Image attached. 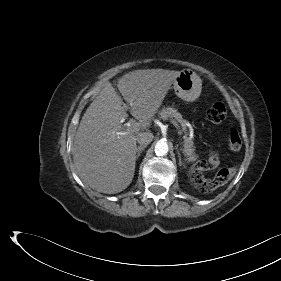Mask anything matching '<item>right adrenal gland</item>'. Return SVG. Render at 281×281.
Here are the masks:
<instances>
[{
    "label": "right adrenal gland",
    "mask_w": 281,
    "mask_h": 281,
    "mask_svg": "<svg viewBox=\"0 0 281 281\" xmlns=\"http://www.w3.org/2000/svg\"><path fill=\"white\" fill-rule=\"evenodd\" d=\"M145 149V146H139L137 148V155H136V159H138L140 157V154L142 153V151Z\"/></svg>",
    "instance_id": "2a0ac1e0"
}]
</instances>
